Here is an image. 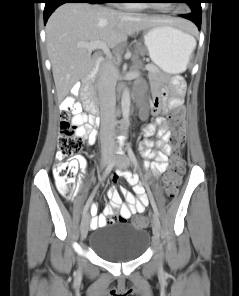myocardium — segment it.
I'll list each match as a JSON object with an SVG mask.
<instances>
[{"label":"myocardium","instance_id":"obj_1","mask_svg":"<svg viewBox=\"0 0 239 296\" xmlns=\"http://www.w3.org/2000/svg\"><path fill=\"white\" fill-rule=\"evenodd\" d=\"M144 5L151 7V8L159 9V10H169V8L160 7L159 5H156L154 3H146Z\"/></svg>","mask_w":239,"mask_h":296}]
</instances>
